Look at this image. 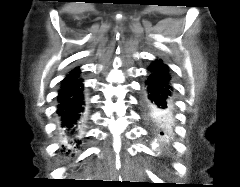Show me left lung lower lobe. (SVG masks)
I'll return each mask as SVG.
<instances>
[{
  "label": "left lung lower lobe",
  "instance_id": "1",
  "mask_svg": "<svg viewBox=\"0 0 240 187\" xmlns=\"http://www.w3.org/2000/svg\"><path fill=\"white\" fill-rule=\"evenodd\" d=\"M148 71L141 98L143 114L152 123L170 125L173 122V88L169 68L157 59Z\"/></svg>",
  "mask_w": 240,
  "mask_h": 187
}]
</instances>
